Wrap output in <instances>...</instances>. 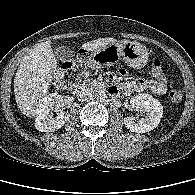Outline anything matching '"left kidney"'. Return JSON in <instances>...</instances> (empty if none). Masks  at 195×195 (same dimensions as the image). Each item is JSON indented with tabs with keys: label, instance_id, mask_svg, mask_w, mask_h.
<instances>
[{
	"label": "left kidney",
	"instance_id": "5707ae66",
	"mask_svg": "<svg viewBox=\"0 0 195 195\" xmlns=\"http://www.w3.org/2000/svg\"><path fill=\"white\" fill-rule=\"evenodd\" d=\"M130 104L134 111H143L146 116L140 120H136L132 115L125 117L126 128L135 133H145L158 126L163 114V106L157 99L149 94L142 93L131 98Z\"/></svg>",
	"mask_w": 195,
	"mask_h": 195
}]
</instances>
